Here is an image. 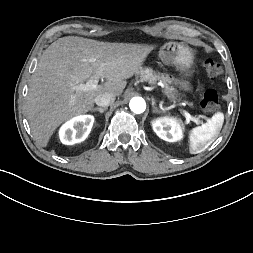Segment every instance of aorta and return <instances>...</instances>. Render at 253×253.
<instances>
[{
    "mask_svg": "<svg viewBox=\"0 0 253 253\" xmlns=\"http://www.w3.org/2000/svg\"><path fill=\"white\" fill-rule=\"evenodd\" d=\"M129 106L132 112L141 114L146 109V102L141 97H134L130 100Z\"/></svg>",
    "mask_w": 253,
    "mask_h": 253,
    "instance_id": "762f6f07",
    "label": "aorta"
}]
</instances>
